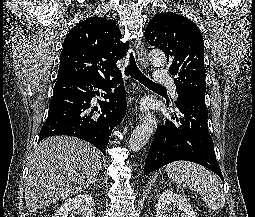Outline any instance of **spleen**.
<instances>
[{"mask_svg":"<svg viewBox=\"0 0 255 217\" xmlns=\"http://www.w3.org/2000/svg\"><path fill=\"white\" fill-rule=\"evenodd\" d=\"M170 179L199 193L210 210L224 206L223 186L218 178L204 167L187 161H177L166 166Z\"/></svg>","mask_w":255,"mask_h":217,"instance_id":"1","label":"spleen"}]
</instances>
